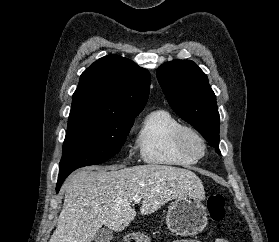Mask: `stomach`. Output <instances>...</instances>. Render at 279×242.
<instances>
[{"mask_svg":"<svg viewBox=\"0 0 279 242\" xmlns=\"http://www.w3.org/2000/svg\"><path fill=\"white\" fill-rule=\"evenodd\" d=\"M208 222L206 207L200 199L191 196L176 198L168 209L166 223L172 234L194 236L202 232ZM136 242H148L141 233L133 234Z\"/></svg>","mask_w":279,"mask_h":242,"instance_id":"0dacf381","label":"stomach"}]
</instances>
